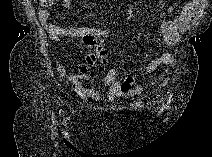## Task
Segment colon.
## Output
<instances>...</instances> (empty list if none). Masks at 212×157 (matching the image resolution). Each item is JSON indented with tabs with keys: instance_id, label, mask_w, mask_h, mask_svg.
Returning a JSON list of instances; mask_svg holds the SVG:
<instances>
[{
	"instance_id": "5ec220e1",
	"label": "colon",
	"mask_w": 212,
	"mask_h": 157,
	"mask_svg": "<svg viewBox=\"0 0 212 157\" xmlns=\"http://www.w3.org/2000/svg\"><path fill=\"white\" fill-rule=\"evenodd\" d=\"M43 4H48V2H43ZM88 43L93 44V50L88 56L87 63L82 67V70L86 72L89 65H103L106 61L107 51L101 45L97 44L94 38L90 35L85 36Z\"/></svg>"
}]
</instances>
